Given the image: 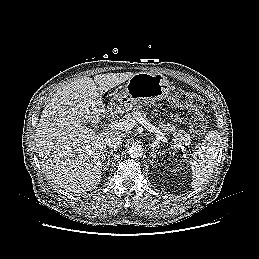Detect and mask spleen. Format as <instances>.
I'll return each instance as SVG.
<instances>
[{
  "instance_id": "3e777b00",
  "label": "spleen",
  "mask_w": 259,
  "mask_h": 259,
  "mask_svg": "<svg viewBox=\"0 0 259 259\" xmlns=\"http://www.w3.org/2000/svg\"><path fill=\"white\" fill-rule=\"evenodd\" d=\"M219 140H221V137L217 130L209 131L201 147L197 146V149L193 150L191 154L193 159L189 162L192 173L191 187L193 189L200 188L203 184L209 182L216 165Z\"/></svg>"
}]
</instances>
